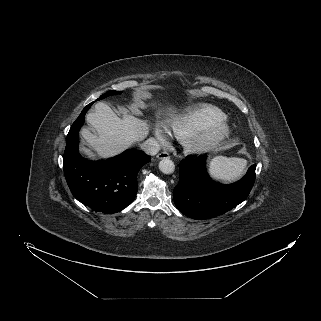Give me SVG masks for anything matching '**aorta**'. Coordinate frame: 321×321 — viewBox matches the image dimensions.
<instances>
[{
	"label": "aorta",
	"mask_w": 321,
	"mask_h": 321,
	"mask_svg": "<svg viewBox=\"0 0 321 321\" xmlns=\"http://www.w3.org/2000/svg\"><path fill=\"white\" fill-rule=\"evenodd\" d=\"M159 169L164 174H172L175 170V164L169 158H163L159 162Z\"/></svg>",
	"instance_id": "obj_1"
}]
</instances>
